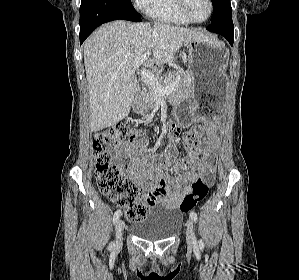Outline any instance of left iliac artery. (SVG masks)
Instances as JSON below:
<instances>
[{"label": "left iliac artery", "instance_id": "left-iliac-artery-1", "mask_svg": "<svg viewBox=\"0 0 299 280\" xmlns=\"http://www.w3.org/2000/svg\"><path fill=\"white\" fill-rule=\"evenodd\" d=\"M190 217H191V219H192L194 222H197L198 217H197L196 212L192 211V212L190 213ZM199 246H200V247H203V246H204V243H203L201 240L199 241Z\"/></svg>", "mask_w": 299, "mask_h": 280}]
</instances>
